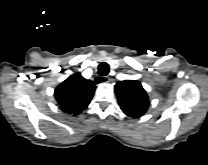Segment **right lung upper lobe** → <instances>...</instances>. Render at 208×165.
<instances>
[{
	"mask_svg": "<svg viewBox=\"0 0 208 165\" xmlns=\"http://www.w3.org/2000/svg\"><path fill=\"white\" fill-rule=\"evenodd\" d=\"M95 88L91 80H86L81 74L76 73L63 81L55 89L54 95L63 112L78 115L87 108Z\"/></svg>",
	"mask_w": 208,
	"mask_h": 165,
	"instance_id": "obj_1",
	"label": "right lung upper lobe"
}]
</instances>
